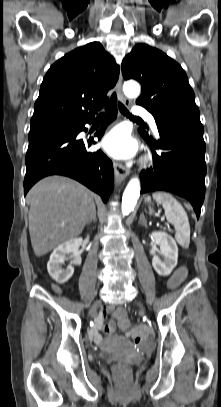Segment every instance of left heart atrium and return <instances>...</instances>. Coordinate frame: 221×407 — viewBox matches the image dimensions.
<instances>
[{"instance_id":"obj_1","label":"left heart atrium","mask_w":221,"mask_h":407,"mask_svg":"<svg viewBox=\"0 0 221 407\" xmlns=\"http://www.w3.org/2000/svg\"><path fill=\"white\" fill-rule=\"evenodd\" d=\"M101 148L116 159H128L137 151V143L122 126L114 128L102 140Z\"/></svg>"}]
</instances>
